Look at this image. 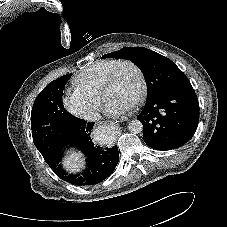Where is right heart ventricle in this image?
Segmentation results:
<instances>
[{
    "label": "right heart ventricle",
    "mask_w": 227,
    "mask_h": 227,
    "mask_svg": "<svg viewBox=\"0 0 227 227\" xmlns=\"http://www.w3.org/2000/svg\"><path fill=\"white\" fill-rule=\"evenodd\" d=\"M120 61V59H103L92 63L73 78V86L76 90L100 97L106 78Z\"/></svg>",
    "instance_id": "e07e8e85"
}]
</instances>
